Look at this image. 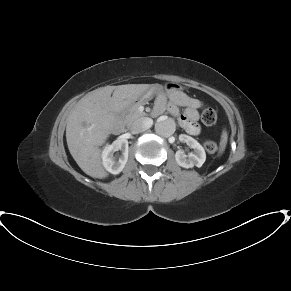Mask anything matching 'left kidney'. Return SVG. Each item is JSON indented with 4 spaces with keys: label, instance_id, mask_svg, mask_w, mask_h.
<instances>
[{
    "label": "left kidney",
    "instance_id": "obj_1",
    "mask_svg": "<svg viewBox=\"0 0 291 291\" xmlns=\"http://www.w3.org/2000/svg\"><path fill=\"white\" fill-rule=\"evenodd\" d=\"M179 140L185 142L193 152L186 155L182 150H178L175 154L177 164L183 168L201 167L206 160V153L200 143L185 134H181Z\"/></svg>",
    "mask_w": 291,
    "mask_h": 291
}]
</instances>
